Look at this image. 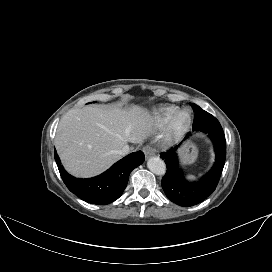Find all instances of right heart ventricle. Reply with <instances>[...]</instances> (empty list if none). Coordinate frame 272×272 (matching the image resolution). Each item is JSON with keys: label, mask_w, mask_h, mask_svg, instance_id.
Masks as SVG:
<instances>
[{"label": "right heart ventricle", "mask_w": 272, "mask_h": 272, "mask_svg": "<svg viewBox=\"0 0 272 272\" xmlns=\"http://www.w3.org/2000/svg\"><path fill=\"white\" fill-rule=\"evenodd\" d=\"M178 110L176 106H167V107H161L158 108L153 116H152V121L157 125V126H163L165 125L168 120L171 118V116Z\"/></svg>", "instance_id": "1"}]
</instances>
